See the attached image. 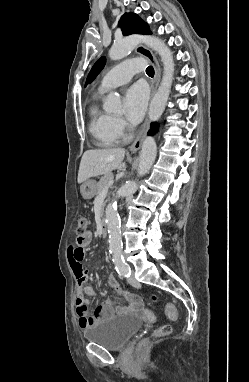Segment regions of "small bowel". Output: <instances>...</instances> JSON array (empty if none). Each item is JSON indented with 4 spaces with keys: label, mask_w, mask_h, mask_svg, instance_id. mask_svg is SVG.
<instances>
[{
    "label": "small bowel",
    "mask_w": 249,
    "mask_h": 382,
    "mask_svg": "<svg viewBox=\"0 0 249 382\" xmlns=\"http://www.w3.org/2000/svg\"><path fill=\"white\" fill-rule=\"evenodd\" d=\"M92 241V232L87 231L85 238L83 241H78L76 239L73 241V244L70 246V252L67 254V257L70 260L71 267L76 275L79 291L76 296V313L79 317L78 323L82 329H86L87 327L109 317L112 314V310L107 305H98L94 311L92 316H88L87 314V306L89 304V299L84 297V294L90 297H97L98 294L95 290L88 284H86L88 275L84 278L79 277L77 275V267L81 265V262L86 261V250L87 246ZM108 286L116 291L117 293H123L120 285L114 276H109L108 278ZM130 302V306L133 310H138L142 308L143 303L142 300L136 296L123 293Z\"/></svg>",
    "instance_id": "c3829d8e"
}]
</instances>
